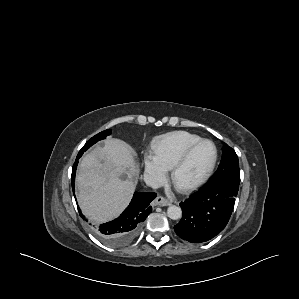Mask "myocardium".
<instances>
[{
	"label": "myocardium",
	"mask_w": 299,
	"mask_h": 299,
	"mask_svg": "<svg viewBox=\"0 0 299 299\" xmlns=\"http://www.w3.org/2000/svg\"><path fill=\"white\" fill-rule=\"evenodd\" d=\"M205 143L211 144L214 148V158H213V161H212L209 169L199 179H197L191 183H188V184H180L178 181V175H179L180 171L186 166V164L188 163L189 159L191 158L192 154L196 151V149ZM217 161H218V149H217L215 143L208 139H202V140L198 141L197 143L193 144L191 147H189L185 151V153L181 156V158L177 161V163L173 166V168L171 169V181H172L173 185L175 186V188L181 192L186 193V192L193 191L208 181V179L212 176V174L215 170Z\"/></svg>",
	"instance_id": "f54148a6"
}]
</instances>
